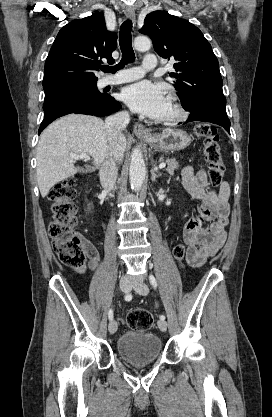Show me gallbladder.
<instances>
[{
	"mask_svg": "<svg viewBox=\"0 0 272 417\" xmlns=\"http://www.w3.org/2000/svg\"><path fill=\"white\" fill-rule=\"evenodd\" d=\"M79 171H80V172H83V170H82V169H79Z\"/></svg>",
	"mask_w": 272,
	"mask_h": 417,
	"instance_id": "gallbladder-1",
	"label": "gallbladder"
}]
</instances>
